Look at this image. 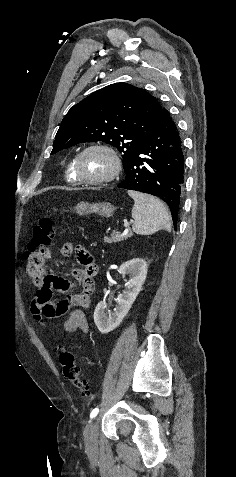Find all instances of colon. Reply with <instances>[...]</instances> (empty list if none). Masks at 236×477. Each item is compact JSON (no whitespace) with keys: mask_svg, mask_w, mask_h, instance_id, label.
<instances>
[{"mask_svg":"<svg viewBox=\"0 0 236 477\" xmlns=\"http://www.w3.org/2000/svg\"><path fill=\"white\" fill-rule=\"evenodd\" d=\"M55 226L51 219L42 218L32 230L31 240L27 244L25 259L28 272L34 283L43 276V262L50 251L48 246L55 236ZM65 378L76 388L80 396L87 398L90 390L87 381L82 375L81 366L76 355L70 350H63L59 356Z\"/></svg>","mask_w":236,"mask_h":477,"instance_id":"5ec220e1","label":"colon"}]
</instances>
